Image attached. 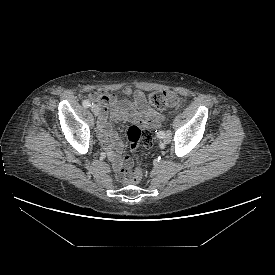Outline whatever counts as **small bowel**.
Returning a JSON list of instances; mask_svg holds the SVG:
<instances>
[{
  "label": "small bowel",
  "instance_id": "c3829d8e",
  "mask_svg": "<svg viewBox=\"0 0 275 275\" xmlns=\"http://www.w3.org/2000/svg\"><path fill=\"white\" fill-rule=\"evenodd\" d=\"M123 94L132 97L131 100L118 99L108 92H92L89 98L99 102L102 113L98 119V137L107 150L117 178H125V170L122 169L123 161L120 154L124 151V144L119 139L117 128L110 122L127 121L136 123L142 129L150 131L157 129L164 120V115L150 108L146 102L145 93L142 90H134L127 86L122 90ZM126 165L130 159L125 158Z\"/></svg>",
  "mask_w": 275,
  "mask_h": 275
}]
</instances>
